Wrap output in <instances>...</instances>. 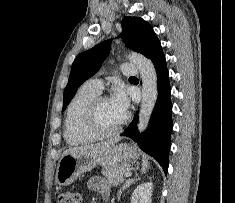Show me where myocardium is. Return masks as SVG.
<instances>
[{
    "instance_id": "f54148a6",
    "label": "myocardium",
    "mask_w": 235,
    "mask_h": 203,
    "mask_svg": "<svg viewBox=\"0 0 235 203\" xmlns=\"http://www.w3.org/2000/svg\"><path fill=\"white\" fill-rule=\"evenodd\" d=\"M109 99L105 95L96 96L88 105L86 116H85V124L87 129L95 135L97 138H108L115 135H118L127 124L128 116L126 115L123 121L112 130H104L98 123V108L102 101Z\"/></svg>"
}]
</instances>
